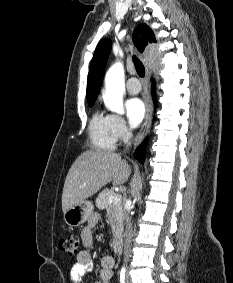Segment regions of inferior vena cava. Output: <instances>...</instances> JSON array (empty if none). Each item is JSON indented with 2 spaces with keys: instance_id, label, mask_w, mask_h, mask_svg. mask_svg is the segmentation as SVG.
I'll list each match as a JSON object with an SVG mask.
<instances>
[{
  "instance_id": "1",
  "label": "inferior vena cava",
  "mask_w": 233,
  "mask_h": 283,
  "mask_svg": "<svg viewBox=\"0 0 233 283\" xmlns=\"http://www.w3.org/2000/svg\"><path fill=\"white\" fill-rule=\"evenodd\" d=\"M130 145H131V141L127 143L126 148H129ZM125 220H126V232H125V242H124V263L125 265H127L130 257V252H131L130 245L133 236L132 223L129 212H125Z\"/></svg>"
}]
</instances>
